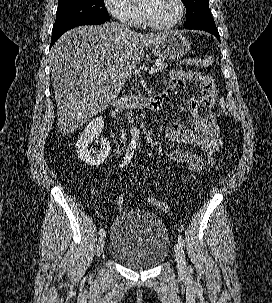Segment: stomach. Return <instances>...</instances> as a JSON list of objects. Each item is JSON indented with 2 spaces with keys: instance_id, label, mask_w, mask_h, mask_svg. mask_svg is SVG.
Here are the masks:
<instances>
[{
  "instance_id": "0dacf381",
  "label": "stomach",
  "mask_w": 272,
  "mask_h": 303,
  "mask_svg": "<svg viewBox=\"0 0 272 303\" xmlns=\"http://www.w3.org/2000/svg\"><path fill=\"white\" fill-rule=\"evenodd\" d=\"M191 49V43L178 32H168L165 37L154 45L152 52L161 59H181Z\"/></svg>"
}]
</instances>
